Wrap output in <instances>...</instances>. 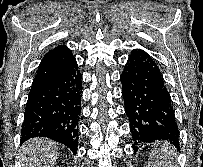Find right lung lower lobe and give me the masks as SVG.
<instances>
[{
    "mask_svg": "<svg viewBox=\"0 0 203 167\" xmlns=\"http://www.w3.org/2000/svg\"><path fill=\"white\" fill-rule=\"evenodd\" d=\"M82 76L75 58L56 76L30 90L21 129V143L47 137L75 154L81 112Z\"/></svg>",
    "mask_w": 203,
    "mask_h": 167,
    "instance_id": "1",
    "label": "right lung lower lobe"
}]
</instances>
